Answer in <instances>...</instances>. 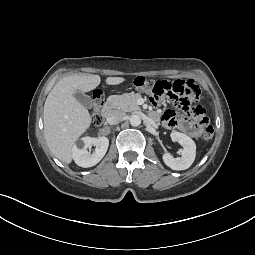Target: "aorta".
Returning <instances> with one entry per match:
<instances>
[{"label":"aorta","instance_id":"aorta-1","mask_svg":"<svg viewBox=\"0 0 255 255\" xmlns=\"http://www.w3.org/2000/svg\"><path fill=\"white\" fill-rule=\"evenodd\" d=\"M129 121L130 124L134 127L139 126L141 124V118L139 115L136 114L131 115Z\"/></svg>","mask_w":255,"mask_h":255}]
</instances>
